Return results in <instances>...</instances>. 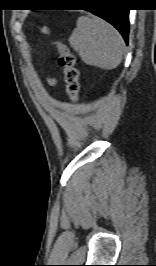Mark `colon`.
I'll list each match as a JSON object with an SVG mask.
<instances>
[{"instance_id":"obj_1","label":"colon","mask_w":156,"mask_h":266,"mask_svg":"<svg viewBox=\"0 0 156 266\" xmlns=\"http://www.w3.org/2000/svg\"><path fill=\"white\" fill-rule=\"evenodd\" d=\"M41 32L44 35H49L50 30L47 26L41 27ZM54 45L58 51L59 59L58 62L63 69L64 72V80L66 84V93L69 99L76 103L79 98V71L76 67V59L74 54L68 48L67 45L62 43L59 40L54 42Z\"/></svg>"}]
</instances>
